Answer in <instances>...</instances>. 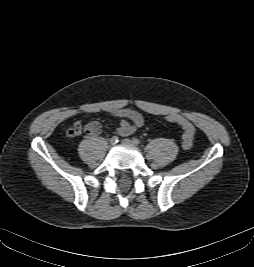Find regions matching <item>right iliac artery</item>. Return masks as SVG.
Here are the masks:
<instances>
[{
	"label": "right iliac artery",
	"mask_w": 254,
	"mask_h": 267,
	"mask_svg": "<svg viewBox=\"0 0 254 267\" xmlns=\"http://www.w3.org/2000/svg\"><path fill=\"white\" fill-rule=\"evenodd\" d=\"M118 141H119V137L118 136H113L110 139V143L113 144V145L116 144Z\"/></svg>",
	"instance_id": "right-iliac-artery-1"
}]
</instances>
